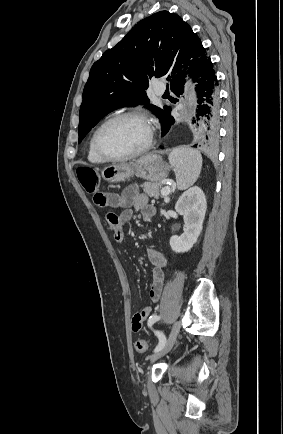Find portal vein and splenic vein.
<instances>
[{
    "instance_id": "1",
    "label": "portal vein and splenic vein",
    "mask_w": 283,
    "mask_h": 434,
    "mask_svg": "<svg viewBox=\"0 0 283 434\" xmlns=\"http://www.w3.org/2000/svg\"><path fill=\"white\" fill-rule=\"evenodd\" d=\"M170 192H171V188L169 186H166L161 190V194L163 196H167Z\"/></svg>"
}]
</instances>
